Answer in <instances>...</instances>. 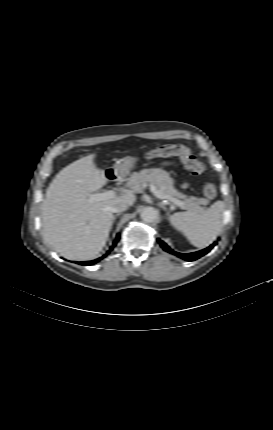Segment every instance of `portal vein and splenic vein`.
Instances as JSON below:
<instances>
[{
  "mask_svg": "<svg viewBox=\"0 0 273 430\" xmlns=\"http://www.w3.org/2000/svg\"><path fill=\"white\" fill-rule=\"evenodd\" d=\"M150 191L157 197V198H159V199H167V201L168 202H171V203H174V204H176V205H178V206H183V202L182 201H180V200H178V199H176V198H174V197H171V196H168V195H165V194H163L160 190H158L157 189V187L155 186V185H153V184H150ZM115 195H116V193L113 191V190H108V191H106V192H103V193H97V194H90L89 195V198H88V201L90 202V203H93V202H97V201H103V200H108V199H111V198H114L115 197Z\"/></svg>",
  "mask_w": 273,
  "mask_h": 430,
  "instance_id": "portal-vein-and-splenic-vein-1",
  "label": "portal vein and splenic vein"
}]
</instances>
